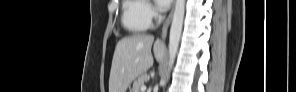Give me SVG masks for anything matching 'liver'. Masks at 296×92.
Listing matches in <instances>:
<instances>
[{
  "instance_id": "6515ba94",
  "label": "liver",
  "mask_w": 296,
  "mask_h": 92,
  "mask_svg": "<svg viewBox=\"0 0 296 92\" xmlns=\"http://www.w3.org/2000/svg\"><path fill=\"white\" fill-rule=\"evenodd\" d=\"M153 43L154 37L145 34H135L118 41L111 65L109 92H126L133 80L152 67ZM165 51V44L157 39L153 46L157 62L163 60Z\"/></svg>"
}]
</instances>
